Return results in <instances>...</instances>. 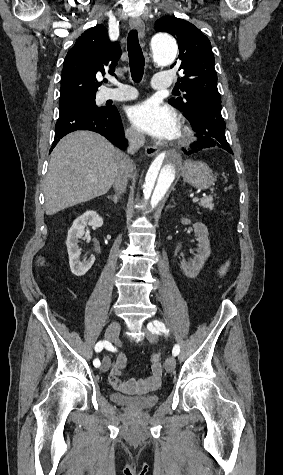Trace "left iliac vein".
Instances as JSON below:
<instances>
[{"label":"left iliac vein","instance_id":"obj_1","mask_svg":"<svg viewBox=\"0 0 283 475\" xmlns=\"http://www.w3.org/2000/svg\"><path fill=\"white\" fill-rule=\"evenodd\" d=\"M146 338L149 340L150 343H157V341H158L157 336L152 331L151 332L146 331ZM164 365H165V370L168 373L174 372L175 368H176L175 358L173 356H170V357L166 358V360L164 362Z\"/></svg>","mask_w":283,"mask_h":475}]
</instances>
